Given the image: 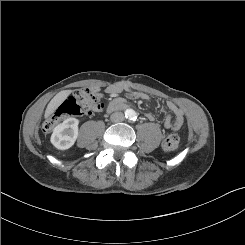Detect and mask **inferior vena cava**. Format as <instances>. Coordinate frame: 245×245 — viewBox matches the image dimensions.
<instances>
[{
    "label": "inferior vena cava",
    "instance_id": "inferior-vena-cava-1",
    "mask_svg": "<svg viewBox=\"0 0 245 245\" xmlns=\"http://www.w3.org/2000/svg\"><path fill=\"white\" fill-rule=\"evenodd\" d=\"M110 118L113 122H120L124 120V114L122 112H114Z\"/></svg>",
    "mask_w": 245,
    "mask_h": 245
}]
</instances>
